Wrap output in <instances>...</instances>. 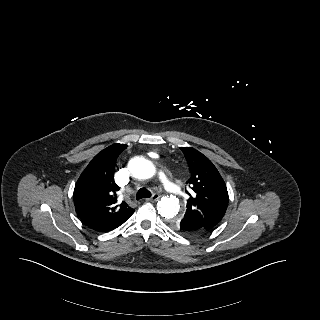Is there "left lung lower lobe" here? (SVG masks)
<instances>
[{"label":"left lung lower lobe","mask_w":320,"mask_h":320,"mask_svg":"<svg viewBox=\"0 0 320 320\" xmlns=\"http://www.w3.org/2000/svg\"><path fill=\"white\" fill-rule=\"evenodd\" d=\"M172 229L177 232H180L184 235H197L203 232L208 231L205 228H199L196 223L190 219H181L178 221V228H174L171 224Z\"/></svg>","instance_id":"obj_1"}]
</instances>
